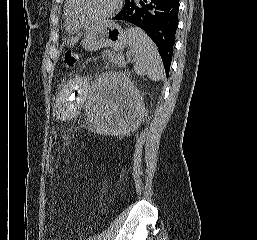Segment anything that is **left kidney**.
<instances>
[{
  "mask_svg": "<svg viewBox=\"0 0 257 240\" xmlns=\"http://www.w3.org/2000/svg\"><path fill=\"white\" fill-rule=\"evenodd\" d=\"M90 122L97 133L125 135L144 117L143 98L122 72H108L95 80L87 104Z\"/></svg>",
  "mask_w": 257,
  "mask_h": 240,
  "instance_id": "obj_1",
  "label": "left kidney"
}]
</instances>
